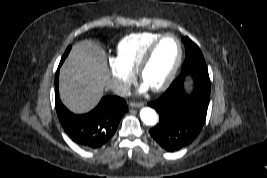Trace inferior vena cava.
Listing matches in <instances>:
<instances>
[{"instance_id":"inferior-vena-cava-1","label":"inferior vena cava","mask_w":267,"mask_h":178,"mask_svg":"<svg viewBox=\"0 0 267 178\" xmlns=\"http://www.w3.org/2000/svg\"><path fill=\"white\" fill-rule=\"evenodd\" d=\"M112 91L119 96H127L130 94V85L122 81H114L110 84Z\"/></svg>"}]
</instances>
